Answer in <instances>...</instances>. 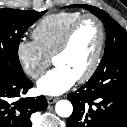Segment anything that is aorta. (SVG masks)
Returning a JSON list of instances; mask_svg holds the SVG:
<instances>
[{
    "mask_svg": "<svg viewBox=\"0 0 127 127\" xmlns=\"http://www.w3.org/2000/svg\"><path fill=\"white\" fill-rule=\"evenodd\" d=\"M55 110L60 117L66 118L72 114L73 106L68 100H60L56 103Z\"/></svg>",
    "mask_w": 127,
    "mask_h": 127,
    "instance_id": "762f6f07",
    "label": "aorta"
}]
</instances>
